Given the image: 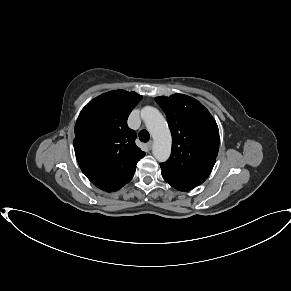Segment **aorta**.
<instances>
[{
  "label": "aorta",
  "mask_w": 291,
  "mask_h": 291,
  "mask_svg": "<svg viewBox=\"0 0 291 291\" xmlns=\"http://www.w3.org/2000/svg\"><path fill=\"white\" fill-rule=\"evenodd\" d=\"M141 117L153 137V156L159 162L166 161L171 153V134L166 120L158 109L151 106L142 109Z\"/></svg>",
  "instance_id": "762f6f07"
}]
</instances>
